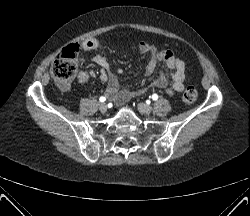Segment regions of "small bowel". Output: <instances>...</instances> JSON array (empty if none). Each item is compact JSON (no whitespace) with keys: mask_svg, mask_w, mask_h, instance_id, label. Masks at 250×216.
<instances>
[{"mask_svg":"<svg viewBox=\"0 0 250 216\" xmlns=\"http://www.w3.org/2000/svg\"><path fill=\"white\" fill-rule=\"evenodd\" d=\"M98 46V41L90 39L82 43L81 48L84 51H91ZM139 51L150 56L149 62L146 66V74L152 77L160 67H164L170 71L169 79L163 74L151 79L148 86L137 89H120L119 81L116 75L110 68L107 59L102 55L94 57V62L102 68L100 79L107 83V95L112 98L117 104L121 105L127 102L131 97L143 94L149 86L163 89L167 94L173 95L181 92L184 89L185 80V63L175 56L170 50H159L147 42L139 44ZM80 83L85 84L90 79V73L87 71H80L77 75ZM63 90L67 88L66 84L60 86Z\"/></svg>","mask_w":250,"mask_h":216,"instance_id":"c3829d8e","label":"small bowel"}]
</instances>
